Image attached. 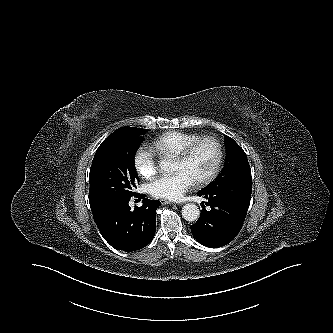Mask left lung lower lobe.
<instances>
[{"label": "left lung lower lobe", "instance_id": "left-lung-lower-lobe-1", "mask_svg": "<svg viewBox=\"0 0 333 333\" xmlns=\"http://www.w3.org/2000/svg\"><path fill=\"white\" fill-rule=\"evenodd\" d=\"M204 197L201 215L191 226L194 238L207 247H221L230 243L242 228L250 200H244L217 188L203 189L197 193Z\"/></svg>", "mask_w": 333, "mask_h": 333}]
</instances>
